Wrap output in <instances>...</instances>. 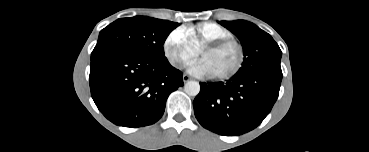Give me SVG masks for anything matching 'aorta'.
Segmentation results:
<instances>
[{
  "label": "aorta",
  "mask_w": 369,
  "mask_h": 152,
  "mask_svg": "<svg viewBox=\"0 0 369 152\" xmlns=\"http://www.w3.org/2000/svg\"><path fill=\"white\" fill-rule=\"evenodd\" d=\"M184 91L189 96H197L200 92V85L197 81H188L184 85Z\"/></svg>",
  "instance_id": "762f6f07"
}]
</instances>
